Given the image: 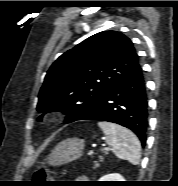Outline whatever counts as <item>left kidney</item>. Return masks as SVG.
Listing matches in <instances>:
<instances>
[{"instance_id": "5707ae66", "label": "left kidney", "mask_w": 178, "mask_h": 186, "mask_svg": "<svg viewBox=\"0 0 178 186\" xmlns=\"http://www.w3.org/2000/svg\"><path fill=\"white\" fill-rule=\"evenodd\" d=\"M99 181H124L123 177L119 174H109L101 177Z\"/></svg>"}]
</instances>
